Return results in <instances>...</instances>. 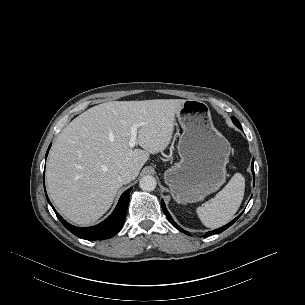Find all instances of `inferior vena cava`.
Returning a JSON list of instances; mask_svg holds the SVG:
<instances>
[{"label":"inferior vena cava","instance_id":"obj_1","mask_svg":"<svg viewBox=\"0 0 305 305\" xmlns=\"http://www.w3.org/2000/svg\"><path fill=\"white\" fill-rule=\"evenodd\" d=\"M133 179H134V173L129 169L121 170L119 173V176H118V180L122 184H127V183L131 182Z\"/></svg>","mask_w":305,"mask_h":305}]
</instances>
